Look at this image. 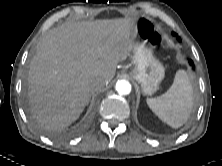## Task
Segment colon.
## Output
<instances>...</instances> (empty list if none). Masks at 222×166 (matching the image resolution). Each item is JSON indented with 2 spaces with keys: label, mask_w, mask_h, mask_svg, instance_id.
<instances>
[{
  "label": "colon",
  "mask_w": 222,
  "mask_h": 166,
  "mask_svg": "<svg viewBox=\"0 0 222 166\" xmlns=\"http://www.w3.org/2000/svg\"><path fill=\"white\" fill-rule=\"evenodd\" d=\"M136 35L142 40L148 41L152 45H160L163 41V37L156 25L149 19L141 18L136 27Z\"/></svg>",
  "instance_id": "obj_1"
}]
</instances>
